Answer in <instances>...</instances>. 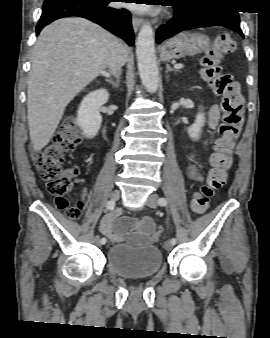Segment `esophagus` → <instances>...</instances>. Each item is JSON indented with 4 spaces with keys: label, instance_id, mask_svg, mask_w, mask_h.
<instances>
[{
    "label": "esophagus",
    "instance_id": "obj_1",
    "mask_svg": "<svg viewBox=\"0 0 270 338\" xmlns=\"http://www.w3.org/2000/svg\"><path fill=\"white\" fill-rule=\"evenodd\" d=\"M142 23H143V20L140 17L136 15H132V25H133V29L135 32L138 31Z\"/></svg>",
    "mask_w": 270,
    "mask_h": 338
}]
</instances>
